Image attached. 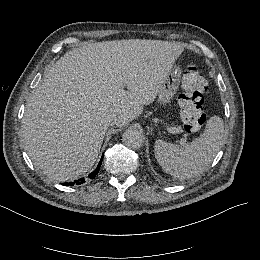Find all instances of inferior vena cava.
<instances>
[{
    "instance_id": "obj_1",
    "label": "inferior vena cava",
    "mask_w": 260,
    "mask_h": 260,
    "mask_svg": "<svg viewBox=\"0 0 260 260\" xmlns=\"http://www.w3.org/2000/svg\"><path fill=\"white\" fill-rule=\"evenodd\" d=\"M117 118L115 116H109L107 119L108 125H114L116 124Z\"/></svg>"
}]
</instances>
